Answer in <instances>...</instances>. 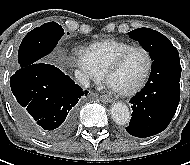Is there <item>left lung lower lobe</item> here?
<instances>
[{"label": "left lung lower lobe", "mask_w": 190, "mask_h": 165, "mask_svg": "<svg viewBox=\"0 0 190 165\" xmlns=\"http://www.w3.org/2000/svg\"><path fill=\"white\" fill-rule=\"evenodd\" d=\"M180 75L177 50L153 60L148 82L130 101L133 112L126 127L130 135L150 137L169 125L180 100Z\"/></svg>", "instance_id": "0a47b994"}]
</instances>
